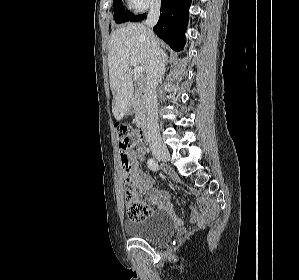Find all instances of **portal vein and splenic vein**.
<instances>
[{
    "mask_svg": "<svg viewBox=\"0 0 299 280\" xmlns=\"http://www.w3.org/2000/svg\"><path fill=\"white\" fill-rule=\"evenodd\" d=\"M130 63L131 65L134 66V77L138 78L142 75V73L144 72V68L141 67L138 63L137 60L134 57L130 58Z\"/></svg>",
    "mask_w": 299,
    "mask_h": 280,
    "instance_id": "1",
    "label": "portal vein and splenic vein"
}]
</instances>
